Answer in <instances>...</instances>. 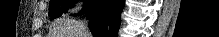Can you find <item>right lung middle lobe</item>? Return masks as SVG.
<instances>
[{
  "label": "right lung middle lobe",
  "mask_w": 219,
  "mask_h": 37,
  "mask_svg": "<svg viewBox=\"0 0 219 37\" xmlns=\"http://www.w3.org/2000/svg\"><path fill=\"white\" fill-rule=\"evenodd\" d=\"M70 0H53L50 1L49 5V15L52 18H57L62 15V13L67 12Z\"/></svg>",
  "instance_id": "dd1d6c3e"
}]
</instances>
